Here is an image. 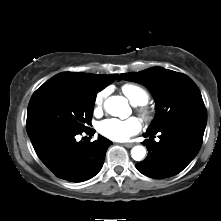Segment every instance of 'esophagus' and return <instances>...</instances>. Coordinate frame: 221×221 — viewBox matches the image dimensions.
<instances>
[{
  "instance_id": "obj_1",
  "label": "esophagus",
  "mask_w": 221,
  "mask_h": 221,
  "mask_svg": "<svg viewBox=\"0 0 221 221\" xmlns=\"http://www.w3.org/2000/svg\"><path fill=\"white\" fill-rule=\"evenodd\" d=\"M123 146L127 147V148H131L134 146L133 143H124Z\"/></svg>"
}]
</instances>
